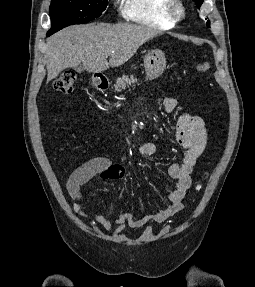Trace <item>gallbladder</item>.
Returning a JSON list of instances; mask_svg holds the SVG:
<instances>
[{"label": "gallbladder", "mask_w": 255, "mask_h": 287, "mask_svg": "<svg viewBox=\"0 0 255 287\" xmlns=\"http://www.w3.org/2000/svg\"><path fill=\"white\" fill-rule=\"evenodd\" d=\"M73 70H75V72H79V74L83 72V68H81V66H74Z\"/></svg>", "instance_id": "gallbladder-1"}]
</instances>
